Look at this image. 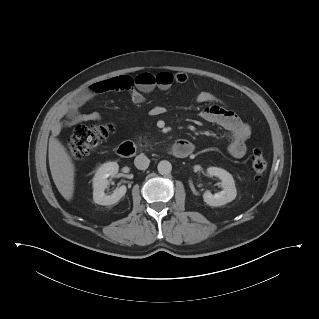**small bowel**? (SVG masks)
Masks as SVG:
<instances>
[{
    "label": "small bowel",
    "mask_w": 319,
    "mask_h": 319,
    "mask_svg": "<svg viewBox=\"0 0 319 319\" xmlns=\"http://www.w3.org/2000/svg\"><path fill=\"white\" fill-rule=\"evenodd\" d=\"M129 76L118 75L104 78L88 87L80 94L70 99L60 110L55 120L51 132L58 134L65 126H71L78 122L100 121L101 115L98 112L80 113L79 109L94 97L123 89V84L130 80ZM187 80L184 73L171 74L162 72L158 74L157 84L149 88H130L129 96L133 103L142 104L145 101V94L151 92L155 87L161 90H167L173 83L183 84ZM198 103H211L199 113L202 120L216 124L229 133L228 153L231 157L240 159L247 152L246 141L251 135L249 124L242 121L232 110L219 105L217 98L210 92L201 91L196 95ZM152 115L163 113L161 106H155L151 109Z\"/></svg>",
    "instance_id": "obj_1"
}]
</instances>
